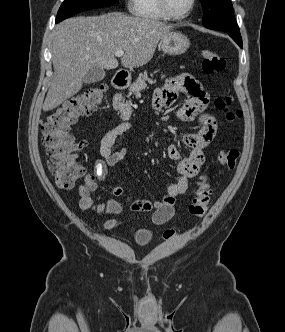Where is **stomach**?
I'll return each mask as SVG.
<instances>
[{
  "label": "stomach",
  "mask_w": 285,
  "mask_h": 332,
  "mask_svg": "<svg viewBox=\"0 0 285 332\" xmlns=\"http://www.w3.org/2000/svg\"><path fill=\"white\" fill-rule=\"evenodd\" d=\"M160 48L164 53L170 55H180L187 51L190 46L188 38L178 32H170L160 40ZM130 79V76L128 77Z\"/></svg>",
  "instance_id": "stomach-1"
}]
</instances>
